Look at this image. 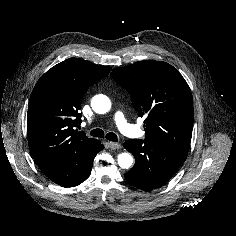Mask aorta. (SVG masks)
I'll list each match as a JSON object with an SVG mask.
<instances>
[{
    "mask_svg": "<svg viewBox=\"0 0 236 236\" xmlns=\"http://www.w3.org/2000/svg\"><path fill=\"white\" fill-rule=\"evenodd\" d=\"M92 109L99 114H105L107 113L111 108V102L110 100L105 97L101 105H99L97 102L91 103ZM133 163V157L129 153H121L118 155V164L123 169H128L132 166Z\"/></svg>",
    "mask_w": 236,
    "mask_h": 236,
    "instance_id": "1",
    "label": "aorta"
}]
</instances>
